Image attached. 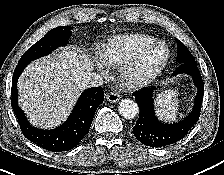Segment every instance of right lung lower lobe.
<instances>
[{
	"label": "right lung lower lobe",
	"mask_w": 224,
	"mask_h": 175,
	"mask_svg": "<svg viewBox=\"0 0 224 175\" xmlns=\"http://www.w3.org/2000/svg\"><path fill=\"white\" fill-rule=\"evenodd\" d=\"M29 63L18 64L12 78L11 105L23 135L48 151H68L74 148L88 133L96 109L104 100L101 87L87 89L80 96L65 123L56 129L44 130L33 127L18 106L17 80Z\"/></svg>",
	"instance_id": "1"
}]
</instances>
